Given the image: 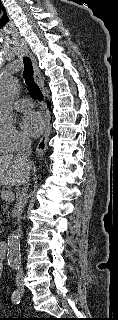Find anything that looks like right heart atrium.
<instances>
[{"label": "right heart atrium", "instance_id": "obj_1", "mask_svg": "<svg viewBox=\"0 0 118 320\" xmlns=\"http://www.w3.org/2000/svg\"><path fill=\"white\" fill-rule=\"evenodd\" d=\"M27 144L28 139L17 129L0 127V152L11 153Z\"/></svg>", "mask_w": 118, "mask_h": 320}]
</instances>
